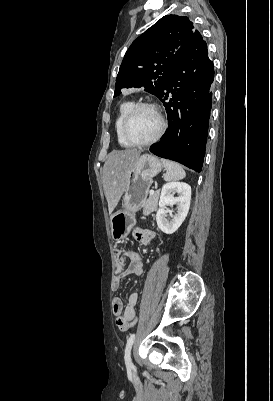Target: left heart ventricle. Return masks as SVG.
Segmentation results:
<instances>
[{
	"mask_svg": "<svg viewBox=\"0 0 273 401\" xmlns=\"http://www.w3.org/2000/svg\"><path fill=\"white\" fill-rule=\"evenodd\" d=\"M161 122L156 113L149 109H140L132 117L128 127V136L136 141L153 138L160 130Z\"/></svg>",
	"mask_w": 273,
	"mask_h": 401,
	"instance_id": "1",
	"label": "left heart ventricle"
}]
</instances>
